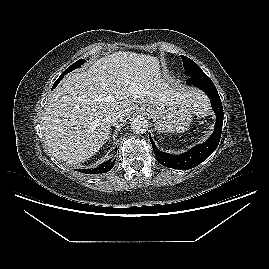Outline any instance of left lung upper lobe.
<instances>
[{"instance_id":"1","label":"left lung upper lobe","mask_w":269,"mask_h":269,"mask_svg":"<svg viewBox=\"0 0 269 269\" xmlns=\"http://www.w3.org/2000/svg\"><path fill=\"white\" fill-rule=\"evenodd\" d=\"M181 58L183 60L185 75H187L189 78L200 74H205L194 61L184 55H181Z\"/></svg>"}]
</instances>
